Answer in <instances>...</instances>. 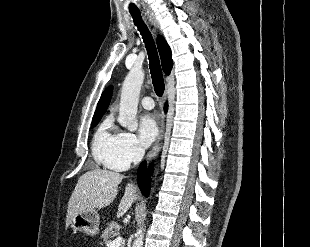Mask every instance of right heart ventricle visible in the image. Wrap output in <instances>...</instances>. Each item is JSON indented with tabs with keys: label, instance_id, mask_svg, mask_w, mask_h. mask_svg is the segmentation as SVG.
<instances>
[{
	"label": "right heart ventricle",
	"instance_id": "obj_1",
	"mask_svg": "<svg viewBox=\"0 0 310 247\" xmlns=\"http://www.w3.org/2000/svg\"><path fill=\"white\" fill-rule=\"evenodd\" d=\"M118 132L111 116H107L97 128L92 140V153L94 159L101 165L116 169L111 164L118 138Z\"/></svg>",
	"mask_w": 310,
	"mask_h": 247
}]
</instances>
